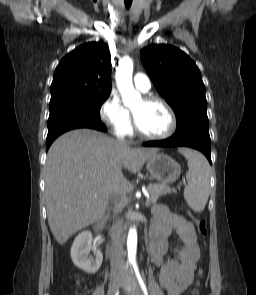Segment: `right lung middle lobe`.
Returning <instances> with one entry per match:
<instances>
[{
	"mask_svg": "<svg viewBox=\"0 0 256 295\" xmlns=\"http://www.w3.org/2000/svg\"><path fill=\"white\" fill-rule=\"evenodd\" d=\"M108 97H66L51 101L48 123L58 119L99 118L100 107Z\"/></svg>",
	"mask_w": 256,
	"mask_h": 295,
	"instance_id": "1",
	"label": "right lung middle lobe"
}]
</instances>
